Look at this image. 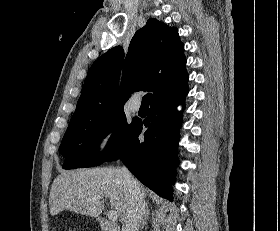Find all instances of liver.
I'll return each mask as SVG.
<instances>
[{
  "label": "liver",
  "mask_w": 280,
  "mask_h": 231,
  "mask_svg": "<svg viewBox=\"0 0 280 231\" xmlns=\"http://www.w3.org/2000/svg\"><path fill=\"white\" fill-rule=\"evenodd\" d=\"M105 197H110L111 209L117 211L124 223L130 211V195L120 169H64L51 185L50 213L57 215L63 209H71L82 215L99 217L104 209Z\"/></svg>",
  "instance_id": "6515ba94"
}]
</instances>
